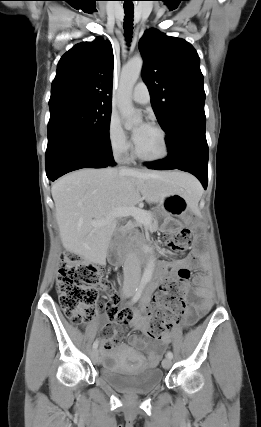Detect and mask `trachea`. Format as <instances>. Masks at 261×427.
I'll use <instances>...</instances> for the list:
<instances>
[{
	"label": "trachea",
	"instance_id": "trachea-1",
	"mask_svg": "<svg viewBox=\"0 0 261 427\" xmlns=\"http://www.w3.org/2000/svg\"><path fill=\"white\" fill-rule=\"evenodd\" d=\"M124 11H125V19H124V31H125V37L126 41L130 42L132 38L133 33V11H134V5L132 2L130 3H124Z\"/></svg>",
	"mask_w": 261,
	"mask_h": 427
}]
</instances>
